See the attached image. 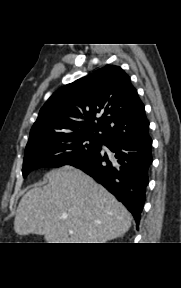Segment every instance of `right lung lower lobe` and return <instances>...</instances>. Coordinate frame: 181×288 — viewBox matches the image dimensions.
<instances>
[{"mask_svg":"<svg viewBox=\"0 0 181 288\" xmlns=\"http://www.w3.org/2000/svg\"><path fill=\"white\" fill-rule=\"evenodd\" d=\"M114 153L99 151L72 164L107 188L132 213L137 228L145 203L148 171L152 163V139H115L103 142Z\"/></svg>","mask_w":181,"mask_h":288,"instance_id":"98d812e1","label":"right lung lower lobe"}]
</instances>
